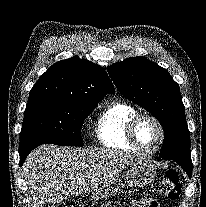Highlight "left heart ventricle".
Instances as JSON below:
<instances>
[{
    "mask_svg": "<svg viewBox=\"0 0 206 207\" xmlns=\"http://www.w3.org/2000/svg\"><path fill=\"white\" fill-rule=\"evenodd\" d=\"M136 139L139 146L145 150L155 148L160 139L157 125L150 119H143L136 128Z\"/></svg>",
    "mask_w": 206,
    "mask_h": 207,
    "instance_id": "1",
    "label": "left heart ventricle"
}]
</instances>
